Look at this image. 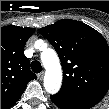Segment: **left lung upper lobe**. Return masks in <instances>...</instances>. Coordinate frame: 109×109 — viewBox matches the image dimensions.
Instances as JSON below:
<instances>
[{"mask_svg":"<svg viewBox=\"0 0 109 109\" xmlns=\"http://www.w3.org/2000/svg\"><path fill=\"white\" fill-rule=\"evenodd\" d=\"M53 45L63 68L62 91L99 103L109 89V46L92 27L59 20L40 29Z\"/></svg>","mask_w":109,"mask_h":109,"instance_id":"5c2ea615","label":"left lung upper lobe"}]
</instances>
